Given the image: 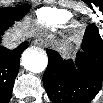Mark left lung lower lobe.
I'll return each instance as SVG.
<instances>
[{
  "mask_svg": "<svg viewBox=\"0 0 103 103\" xmlns=\"http://www.w3.org/2000/svg\"><path fill=\"white\" fill-rule=\"evenodd\" d=\"M49 62L43 84L54 103H89L103 83V40L95 24L85 31L82 52L64 60L54 50H47Z\"/></svg>",
  "mask_w": 103,
  "mask_h": 103,
  "instance_id": "0a47b994",
  "label": "left lung lower lobe"
}]
</instances>
